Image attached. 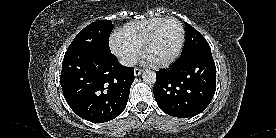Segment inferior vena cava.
<instances>
[{"mask_svg":"<svg viewBox=\"0 0 276 138\" xmlns=\"http://www.w3.org/2000/svg\"><path fill=\"white\" fill-rule=\"evenodd\" d=\"M119 63L123 66H134L137 63V58L132 55H124L119 58Z\"/></svg>","mask_w":276,"mask_h":138,"instance_id":"obj_1","label":"inferior vena cava"}]
</instances>
